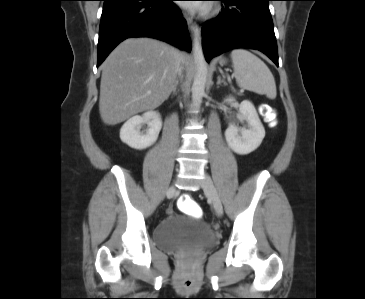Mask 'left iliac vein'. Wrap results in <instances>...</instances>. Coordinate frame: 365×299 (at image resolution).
<instances>
[{
    "instance_id": "left-iliac-vein-1",
    "label": "left iliac vein",
    "mask_w": 365,
    "mask_h": 299,
    "mask_svg": "<svg viewBox=\"0 0 365 299\" xmlns=\"http://www.w3.org/2000/svg\"><path fill=\"white\" fill-rule=\"evenodd\" d=\"M202 185H203V190H204L205 194L208 196V198L211 200L216 213L219 216H221L223 213L222 203H221V200L217 193V190H216L211 178L208 175L205 176V178L202 182Z\"/></svg>"
}]
</instances>
